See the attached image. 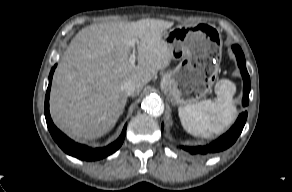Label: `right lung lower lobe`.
<instances>
[{
  "label": "right lung lower lobe",
  "instance_id": "right-lung-lower-lobe-1",
  "mask_svg": "<svg viewBox=\"0 0 292 192\" xmlns=\"http://www.w3.org/2000/svg\"><path fill=\"white\" fill-rule=\"evenodd\" d=\"M55 67L56 65L52 68L50 72V75H49L50 81L52 79ZM50 88H51V83H49L48 85L46 97H45V118H46L48 129L53 139L64 152H66L68 155H71L81 160L95 161L114 153L120 148L125 138L127 125L124 126L120 137L115 142H113L112 144L104 148H89L87 146L75 143L74 141L69 139L66 135H64L60 130H58L56 126L53 124L50 117V113H49Z\"/></svg>",
  "mask_w": 292,
  "mask_h": 192
}]
</instances>
